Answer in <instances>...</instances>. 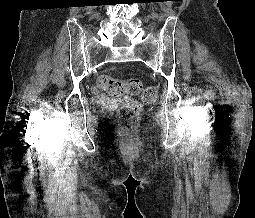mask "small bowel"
<instances>
[{
  "label": "small bowel",
  "instance_id": "obj_1",
  "mask_svg": "<svg viewBox=\"0 0 255 218\" xmlns=\"http://www.w3.org/2000/svg\"><path fill=\"white\" fill-rule=\"evenodd\" d=\"M99 99H104L100 94L97 95ZM109 104H114V101L106 100Z\"/></svg>",
  "mask_w": 255,
  "mask_h": 218
}]
</instances>
